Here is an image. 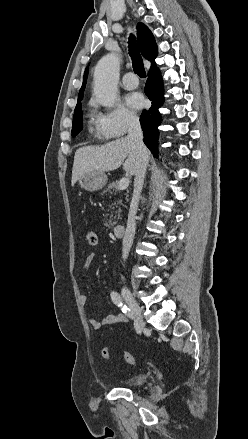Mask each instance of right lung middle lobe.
Segmentation results:
<instances>
[{"mask_svg":"<svg viewBox=\"0 0 248 439\" xmlns=\"http://www.w3.org/2000/svg\"><path fill=\"white\" fill-rule=\"evenodd\" d=\"M82 130V109H78L74 112V118L72 123V136H76Z\"/></svg>","mask_w":248,"mask_h":439,"instance_id":"1","label":"right lung middle lobe"}]
</instances>
